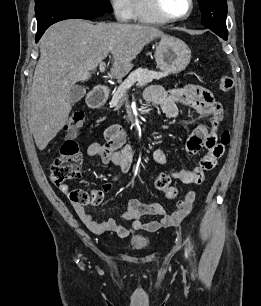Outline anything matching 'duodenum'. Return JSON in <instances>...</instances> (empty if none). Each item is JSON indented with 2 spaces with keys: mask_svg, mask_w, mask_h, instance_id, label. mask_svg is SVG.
I'll return each instance as SVG.
<instances>
[{
  "mask_svg": "<svg viewBox=\"0 0 261 306\" xmlns=\"http://www.w3.org/2000/svg\"><path fill=\"white\" fill-rule=\"evenodd\" d=\"M109 94V89L105 85L95 87L87 97V104L91 108H99L104 104Z\"/></svg>",
  "mask_w": 261,
  "mask_h": 306,
  "instance_id": "obj_1",
  "label": "duodenum"
}]
</instances>
